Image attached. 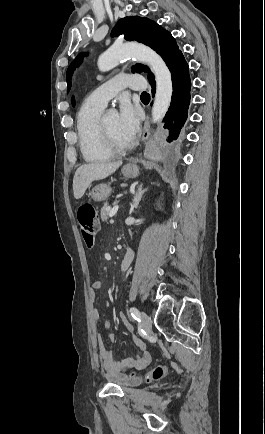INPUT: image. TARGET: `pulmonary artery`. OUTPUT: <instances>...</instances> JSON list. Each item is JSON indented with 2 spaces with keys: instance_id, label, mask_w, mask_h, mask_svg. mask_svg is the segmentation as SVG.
<instances>
[{
  "instance_id": "pulmonary-artery-1",
  "label": "pulmonary artery",
  "mask_w": 265,
  "mask_h": 434,
  "mask_svg": "<svg viewBox=\"0 0 265 434\" xmlns=\"http://www.w3.org/2000/svg\"><path fill=\"white\" fill-rule=\"evenodd\" d=\"M146 75H128L120 73L108 81H104L102 87H94L93 91L88 92V103H99L106 105L111 96H116L117 91L123 90L125 85L131 84H146Z\"/></svg>"
}]
</instances>
